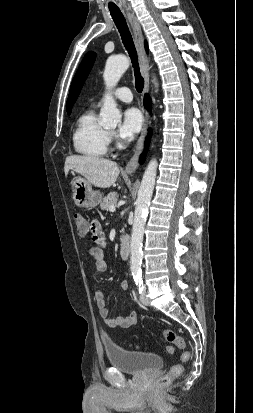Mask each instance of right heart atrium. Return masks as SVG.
I'll return each instance as SVG.
<instances>
[{"label":"right heart atrium","mask_w":253,"mask_h":413,"mask_svg":"<svg viewBox=\"0 0 253 413\" xmlns=\"http://www.w3.org/2000/svg\"><path fill=\"white\" fill-rule=\"evenodd\" d=\"M108 139H109V141H111L112 140V135H108Z\"/></svg>","instance_id":"1"}]
</instances>
